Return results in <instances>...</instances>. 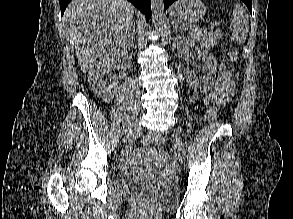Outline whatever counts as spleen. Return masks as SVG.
Returning <instances> with one entry per match:
<instances>
[{
    "label": "spleen",
    "mask_w": 293,
    "mask_h": 219,
    "mask_svg": "<svg viewBox=\"0 0 293 219\" xmlns=\"http://www.w3.org/2000/svg\"><path fill=\"white\" fill-rule=\"evenodd\" d=\"M231 19L233 24L231 41H235L237 44H242L245 42L249 32L248 15L245 9L239 4H234Z\"/></svg>",
    "instance_id": "3e777b00"
}]
</instances>
